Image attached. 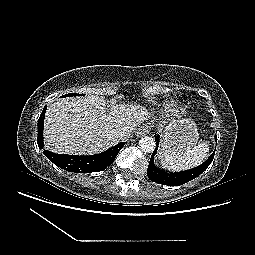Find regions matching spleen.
Instances as JSON below:
<instances>
[{
  "label": "spleen",
  "instance_id": "1",
  "mask_svg": "<svg viewBox=\"0 0 255 255\" xmlns=\"http://www.w3.org/2000/svg\"><path fill=\"white\" fill-rule=\"evenodd\" d=\"M209 152V142H203L194 148L175 155H160L163 168L171 171L186 170L200 165Z\"/></svg>",
  "mask_w": 255,
  "mask_h": 255
}]
</instances>
